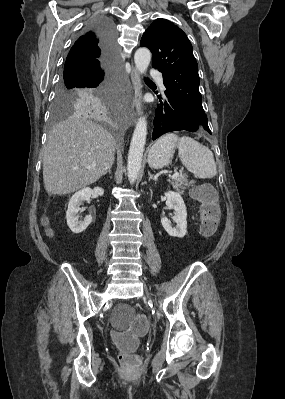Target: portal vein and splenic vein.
Returning a JSON list of instances; mask_svg holds the SVG:
<instances>
[{
  "label": "portal vein and splenic vein",
  "instance_id": "obj_1",
  "mask_svg": "<svg viewBox=\"0 0 285 399\" xmlns=\"http://www.w3.org/2000/svg\"><path fill=\"white\" fill-rule=\"evenodd\" d=\"M179 176H180L179 173L176 171L170 178L177 179Z\"/></svg>",
  "mask_w": 285,
  "mask_h": 399
}]
</instances>
